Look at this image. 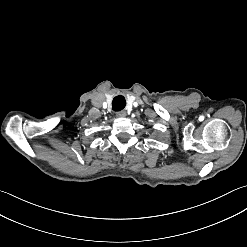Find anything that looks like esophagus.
Returning <instances> with one entry per match:
<instances>
[{"label": "esophagus", "instance_id": "obj_1", "mask_svg": "<svg viewBox=\"0 0 247 247\" xmlns=\"http://www.w3.org/2000/svg\"><path fill=\"white\" fill-rule=\"evenodd\" d=\"M119 114H121V115H122V114H123V112H120Z\"/></svg>", "mask_w": 247, "mask_h": 247}]
</instances>
